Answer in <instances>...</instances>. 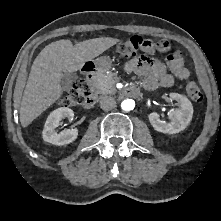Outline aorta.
Here are the masks:
<instances>
[{
    "instance_id": "aorta-1",
    "label": "aorta",
    "mask_w": 221,
    "mask_h": 221,
    "mask_svg": "<svg viewBox=\"0 0 221 221\" xmlns=\"http://www.w3.org/2000/svg\"><path fill=\"white\" fill-rule=\"evenodd\" d=\"M134 107H135V102L132 99L123 100L121 103V108L124 111H131L134 109Z\"/></svg>"
}]
</instances>
